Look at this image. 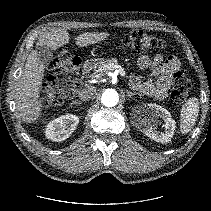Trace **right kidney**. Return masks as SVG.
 Listing matches in <instances>:
<instances>
[{"instance_id":"ca27d5eb","label":"right kidney","mask_w":211,"mask_h":211,"mask_svg":"<svg viewBox=\"0 0 211 211\" xmlns=\"http://www.w3.org/2000/svg\"><path fill=\"white\" fill-rule=\"evenodd\" d=\"M79 118L73 114L62 115L49 122L45 130L48 139L60 142L67 139L76 129Z\"/></svg>"}]
</instances>
